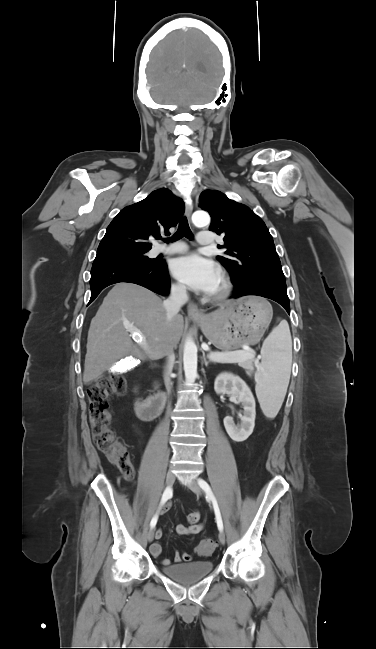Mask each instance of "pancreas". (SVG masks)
<instances>
[{
	"label": "pancreas",
	"mask_w": 376,
	"mask_h": 649,
	"mask_svg": "<svg viewBox=\"0 0 376 649\" xmlns=\"http://www.w3.org/2000/svg\"><path fill=\"white\" fill-rule=\"evenodd\" d=\"M236 352L246 353L247 351H245V350H238V351H236ZM215 353H220V352H218V351H214V352H211L210 354H215ZM255 362H256V360H254V359H247V360H245V361H241V362H237V363H238V365H239L240 367L252 371V370H254V364H255Z\"/></svg>",
	"instance_id": "obj_1"
}]
</instances>
